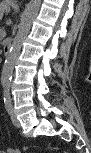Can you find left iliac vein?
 <instances>
[{
  "label": "left iliac vein",
  "mask_w": 91,
  "mask_h": 153,
  "mask_svg": "<svg viewBox=\"0 0 91 153\" xmlns=\"http://www.w3.org/2000/svg\"><path fill=\"white\" fill-rule=\"evenodd\" d=\"M10 115H11V120H12L13 125H14L15 127H17V128H20V126H21V125H20V122H19V120L17 119V117H16V115H15L13 109H12Z\"/></svg>",
  "instance_id": "1"
}]
</instances>
